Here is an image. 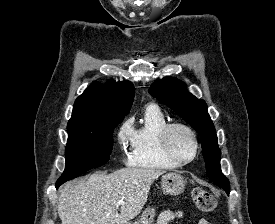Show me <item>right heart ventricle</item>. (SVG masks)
<instances>
[{"instance_id":"right-heart-ventricle-1","label":"right heart ventricle","mask_w":275,"mask_h":224,"mask_svg":"<svg viewBox=\"0 0 275 224\" xmlns=\"http://www.w3.org/2000/svg\"><path fill=\"white\" fill-rule=\"evenodd\" d=\"M168 124L164 114L156 106H148L140 125L132 128L128 165L147 170H172L179 167L165 156L160 145V135Z\"/></svg>"}]
</instances>
